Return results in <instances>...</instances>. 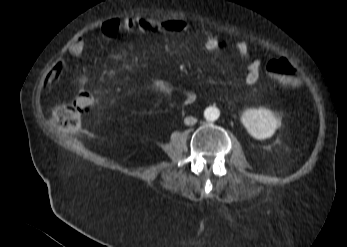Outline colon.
I'll list each match as a JSON object with an SVG mask.
<instances>
[{
	"label": "colon",
	"mask_w": 347,
	"mask_h": 247,
	"mask_svg": "<svg viewBox=\"0 0 347 247\" xmlns=\"http://www.w3.org/2000/svg\"><path fill=\"white\" fill-rule=\"evenodd\" d=\"M267 70L272 80L284 88L295 87L299 82L296 68L285 58L271 60ZM96 106V95L90 90H81L75 95V101L57 106L51 116L62 130H73L80 124L81 114L92 112Z\"/></svg>",
	"instance_id": "colon-1"
}]
</instances>
